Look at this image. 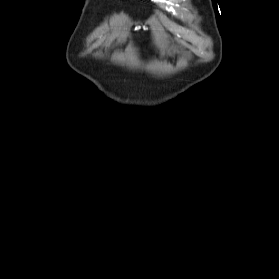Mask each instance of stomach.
Returning <instances> with one entry per match:
<instances>
[{
	"label": "stomach",
	"mask_w": 279,
	"mask_h": 279,
	"mask_svg": "<svg viewBox=\"0 0 279 279\" xmlns=\"http://www.w3.org/2000/svg\"><path fill=\"white\" fill-rule=\"evenodd\" d=\"M143 43H147V40H143Z\"/></svg>",
	"instance_id": "1"
}]
</instances>
